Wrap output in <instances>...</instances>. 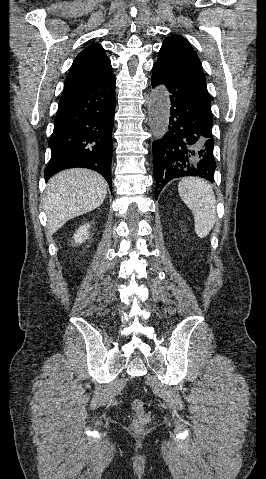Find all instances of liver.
<instances>
[{
    "mask_svg": "<svg viewBox=\"0 0 266 479\" xmlns=\"http://www.w3.org/2000/svg\"><path fill=\"white\" fill-rule=\"evenodd\" d=\"M106 194L107 183L97 172L76 168L53 176L44 199L48 234H54L67 221L99 207Z\"/></svg>",
    "mask_w": 266,
    "mask_h": 479,
    "instance_id": "obj_1",
    "label": "liver"
}]
</instances>
